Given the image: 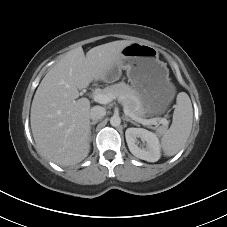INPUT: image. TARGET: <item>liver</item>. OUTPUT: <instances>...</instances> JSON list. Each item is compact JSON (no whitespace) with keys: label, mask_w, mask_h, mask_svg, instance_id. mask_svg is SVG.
I'll use <instances>...</instances> for the list:
<instances>
[{"label":"liver","mask_w":227,"mask_h":227,"mask_svg":"<svg viewBox=\"0 0 227 227\" xmlns=\"http://www.w3.org/2000/svg\"><path fill=\"white\" fill-rule=\"evenodd\" d=\"M132 41H113L67 52L42 79L31 106V129L39 151L60 166L75 165L90 150V101L79 91L104 80Z\"/></svg>","instance_id":"obj_1"}]
</instances>
